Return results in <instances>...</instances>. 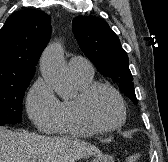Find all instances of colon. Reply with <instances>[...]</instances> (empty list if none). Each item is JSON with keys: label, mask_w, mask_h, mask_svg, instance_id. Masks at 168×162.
Listing matches in <instances>:
<instances>
[{"label": "colon", "mask_w": 168, "mask_h": 162, "mask_svg": "<svg viewBox=\"0 0 168 162\" xmlns=\"http://www.w3.org/2000/svg\"><path fill=\"white\" fill-rule=\"evenodd\" d=\"M142 156L139 153H133L127 158V162H141Z\"/></svg>", "instance_id": "obj_1"}]
</instances>
